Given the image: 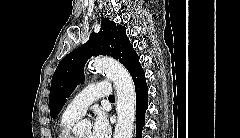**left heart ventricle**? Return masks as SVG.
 I'll use <instances>...</instances> for the list:
<instances>
[{
  "mask_svg": "<svg viewBox=\"0 0 240 138\" xmlns=\"http://www.w3.org/2000/svg\"><path fill=\"white\" fill-rule=\"evenodd\" d=\"M78 138H91V133L89 131L81 133Z\"/></svg>",
  "mask_w": 240,
  "mask_h": 138,
  "instance_id": "left-heart-ventricle-1",
  "label": "left heart ventricle"
}]
</instances>
